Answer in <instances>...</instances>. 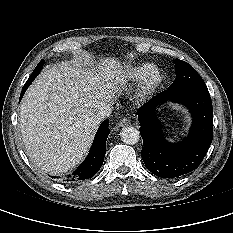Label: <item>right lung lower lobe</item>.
<instances>
[{
	"label": "right lung lower lobe",
	"instance_id": "right-lung-lower-lobe-1",
	"mask_svg": "<svg viewBox=\"0 0 233 233\" xmlns=\"http://www.w3.org/2000/svg\"><path fill=\"white\" fill-rule=\"evenodd\" d=\"M36 77H29L24 87L22 88L20 99L23 97L24 92ZM109 132L110 130L108 128V120L106 119L101 123L96 133L94 142L92 144L87 158L77 168L75 172L68 175L66 178H64L63 181L73 182L92 178L99 171L104 161L106 153V140L109 135Z\"/></svg>",
	"mask_w": 233,
	"mask_h": 233
}]
</instances>
